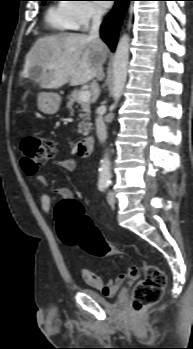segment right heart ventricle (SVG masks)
<instances>
[{
  "mask_svg": "<svg viewBox=\"0 0 193 349\" xmlns=\"http://www.w3.org/2000/svg\"><path fill=\"white\" fill-rule=\"evenodd\" d=\"M66 2L51 4L46 12L48 26L59 32H67L76 28Z\"/></svg>",
  "mask_w": 193,
  "mask_h": 349,
  "instance_id": "1",
  "label": "right heart ventricle"
}]
</instances>
